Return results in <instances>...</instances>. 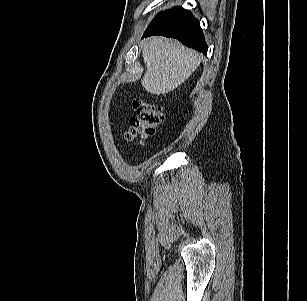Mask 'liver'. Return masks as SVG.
I'll use <instances>...</instances> for the list:
<instances>
[{
    "label": "liver",
    "mask_w": 307,
    "mask_h": 301,
    "mask_svg": "<svg viewBox=\"0 0 307 301\" xmlns=\"http://www.w3.org/2000/svg\"><path fill=\"white\" fill-rule=\"evenodd\" d=\"M142 57L147 70L141 84L147 92L156 95H164L180 86L202 59L197 51L163 37L147 39Z\"/></svg>",
    "instance_id": "1"
}]
</instances>
